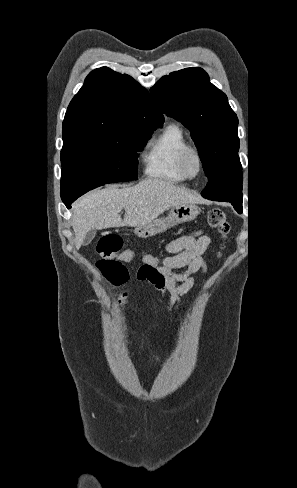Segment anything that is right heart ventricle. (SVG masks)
I'll return each mask as SVG.
<instances>
[{
	"label": "right heart ventricle",
	"mask_w": 297,
	"mask_h": 488,
	"mask_svg": "<svg viewBox=\"0 0 297 488\" xmlns=\"http://www.w3.org/2000/svg\"><path fill=\"white\" fill-rule=\"evenodd\" d=\"M189 146L183 129L176 123L167 124L145 147L142 155L144 173L157 180L184 182L187 178L179 168V158Z\"/></svg>",
	"instance_id": "1"
}]
</instances>
